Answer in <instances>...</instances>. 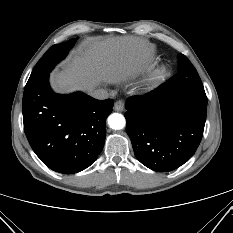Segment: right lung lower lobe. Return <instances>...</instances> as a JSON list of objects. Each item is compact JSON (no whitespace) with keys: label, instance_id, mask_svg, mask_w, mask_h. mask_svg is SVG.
Listing matches in <instances>:
<instances>
[{"label":"right lung lower lobe","instance_id":"98d812e1","mask_svg":"<svg viewBox=\"0 0 233 233\" xmlns=\"http://www.w3.org/2000/svg\"><path fill=\"white\" fill-rule=\"evenodd\" d=\"M46 75L25 87L24 131L35 154L50 169L73 174L89 167L101 153L112 99L81 92L55 94Z\"/></svg>","mask_w":233,"mask_h":233}]
</instances>
